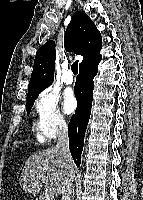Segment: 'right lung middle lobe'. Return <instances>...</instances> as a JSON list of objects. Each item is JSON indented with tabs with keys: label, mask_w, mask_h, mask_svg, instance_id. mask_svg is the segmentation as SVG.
<instances>
[{
	"label": "right lung middle lobe",
	"mask_w": 143,
	"mask_h": 200,
	"mask_svg": "<svg viewBox=\"0 0 143 200\" xmlns=\"http://www.w3.org/2000/svg\"><path fill=\"white\" fill-rule=\"evenodd\" d=\"M38 95H39V94H38ZM38 95H37V96H38ZM37 96H35V97L31 98V99L26 100V101H27V103H26L27 114L30 113L31 108H32V106H33V103H34L35 99L37 98Z\"/></svg>",
	"instance_id": "dd1d6c3e"
}]
</instances>
